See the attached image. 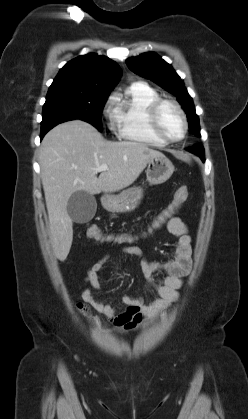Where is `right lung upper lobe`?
I'll list each match as a JSON object with an SVG mask.
<instances>
[{"mask_svg":"<svg viewBox=\"0 0 248 419\" xmlns=\"http://www.w3.org/2000/svg\"><path fill=\"white\" fill-rule=\"evenodd\" d=\"M121 76L118 64L105 56L89 53L64 65L49 89H75L109 94Z\"/></svg>","mask_w":248,"mask_h":419,"instance_id":"1","label":"right lung upper lobe"}]
</instances>
